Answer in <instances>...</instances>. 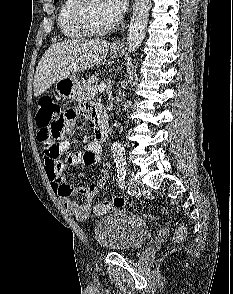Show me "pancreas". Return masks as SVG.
Here are the masks:
<instances>
[{
	"label": "pancreas",
	"instance_id": "1",
	"mask_svg": "<svg viewBox=\"0 0 233 294\" xmlns=\"http://www.w3.org/2000/svg\"><path fill=\"white\" fill-rule=\"evenodd\" d=\"M98 75L91 76L87 81L83 82L78 100H90L97 95Z\"/></svg>",
	"mask_w": 233,
	"mask_h": 294
}]
</instances>
